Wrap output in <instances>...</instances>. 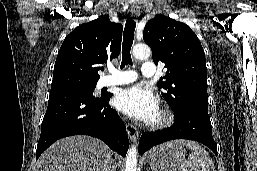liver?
<instances>
[{"mask_svg": "<svg viewBox=\"0 0 257 171\" xmlns=\"http://www.w3.org/2000/svg\"><path fill=\"white\" fill-rule=\"evenodd\" d=\"M111 150L89 136H70L51 145L37 162L38 171H105Z\"/></svg>", "mask_w": 257, "mask_h": 171, "instance_id": "liver-1", "label": "liver"}]
</instances>
